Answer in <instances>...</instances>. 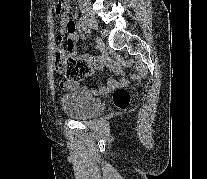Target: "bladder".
<instances>
[{
    "label": "bladder",
    "mask_w": 207,
    "mask_h": 179,
    "mask_svg": "<svg viewBox=\"0 0 207 179\" xmlns=\"http://www.w3.org/2000/svg\"><path fill=\"white\" fill-rule=\"evenodd\" d=\"M64 114L74 119H88L103 111V102L94 96L87 87H79L61 96Z\"/></svg>",
    "instance_id": "31cf9c89"
}]
</instances>
